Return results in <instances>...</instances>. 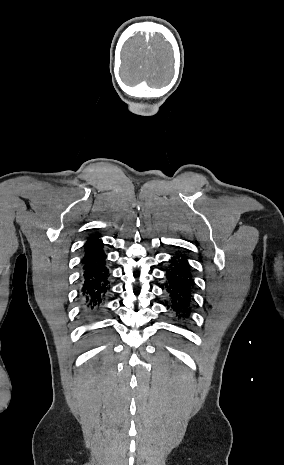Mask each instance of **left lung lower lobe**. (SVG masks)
I'll list each match as a JSON object with an SVG mask.
<instances>
[{"label":"left lung lower lobe","instance_id":"left-lung-lower-lobe-1","mask_svg":"<svg viewBox=\"0 0 284 465\" xmlns=\"http://www.w3.org/2000/svg\"><path fill=\"white\" fill-rule=\"evenodd\" d=\"M166 271V282L162 286L169 294V302L165 303L178 320L188 318L192 312L190 308L191 290L193 287L192 275L187 257L176 254L169 261Z\"/></svg>","mask_w":284,"mask_h":465}]
</instances>
